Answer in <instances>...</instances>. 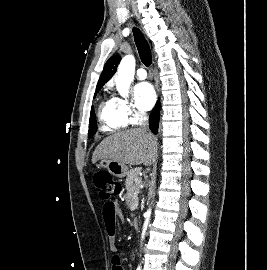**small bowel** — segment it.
<instances>
[{"label": "small bowel", "instance_id": "c3829d8e", "mask_svg": "<svg viewBox=\"0 0 267 270\" xmlns=\"http://www.w3.org/2000/svg\"><path fill=\"white\" fill-rule=\"evenodd\" d=\"M122 216L121 209L116 202H108L103 206V218L105 221L106 229L109 234V247L110 250L115 254L117 252L116 242H115V227H116V218ZM112 270H123L120 265L119 257L114 255L112 259ZM115 264H118L119 268L114 269Z\"/></svg>", "mask_w": 267, "mask_h": 270}]
</instances>
